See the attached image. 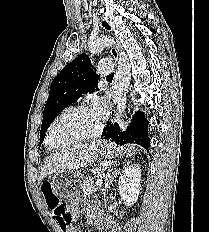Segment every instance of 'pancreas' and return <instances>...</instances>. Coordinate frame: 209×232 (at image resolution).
I'll use <instances>...</instances> for the list:
<instances>
[{
    "mask_svg": "<svg viewBox=\"0 0 209 232\" xmlns=\"http://www.w3.org/2000/svg\"><path fill=\"white\" fill-rule=\"evenodd\" d=\"M103 174V172H99L96 177L100 178V176ZM94 178H86L83 180V184H82V190L84 192V194L86 195H90L92 194L95 190H94Z\"/></svg>",
    "mask_w": 209,
    "mask_h": 232,
    "instance_id": "obj_1",
    "label": "pancreas"
}]
</instances>
